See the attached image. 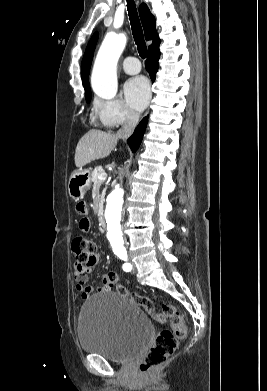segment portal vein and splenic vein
<instances>
[{"label": "portal vein and splenic vein", "instance_id": "portal-vein-and-splenic-vein-1", "mask_svg": "<svg viewBox=\"0 0 267 391\" xmlns=\"http://www.w3.org/2000/svg\"><path fill=\"white\" fill-rule=\"evenodd\" d=\"M100 180H105L107 178V174L103 173L98 177Z\"/></svg>", "mask_w": 267, "mask_h": 391}]
</instances>
